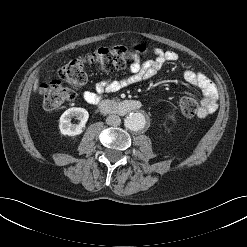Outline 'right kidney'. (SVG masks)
<instances>
[{
  "mask_svg": "<svg viewBox=\"0 0 247 247\" xmlns=\"http://www.w3.org/2000/svg\"><path fill=\"white\" fill-rule=\"evenodd\" d=\"M71 117H77L78 124H71ZM89 118L88 111L84 108L73 107L67 109L60 117L59 129L63 135L76 136L83 132Z\"/></svg>",
  "mask_w": 247,
  "mask_h": 247,
  "instance_id": "right-kidney-1",
  "label": "right kidney"
}]
</instances>
